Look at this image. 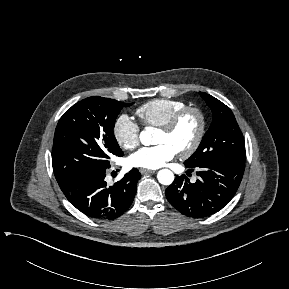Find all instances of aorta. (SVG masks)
<instances>
[{
    "instance_id": "1",
    "label": "aorta",
    "mask_w": 289,
    "mask_h": 289,
    "mask_svg": "<svg viewBox=\"0 0 289 289\" xmlns=\"http://www.w3.org/2000/svg\"><path fill=\"white\" fill-rule=\"evenodd\" d=\"M140 141L145 146L151 144L152 137L149 129L140 133ZM157 179L163 185H170L174 181V174L169 169H162L157 173Z\"/></svg>"
}]
</instances>
